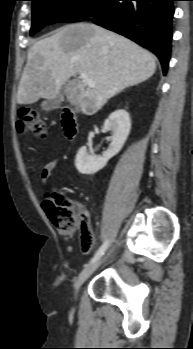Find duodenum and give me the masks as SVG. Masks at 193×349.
<instances>
[{"instance_id":"1","label":"duodenum","mask_w":193,"mask_h":349,"mask_svg":"<svg viewBox=\"0 0 193 349\" xmlns=\"http://www.w3.org/2000/svg\"><path fill=\"white\" fill-rule=\"evenodd\" d=\"M61 125L68 139H73L77 135L78 125L75 113L72 110L64 109Z\"/></svg>"}]
</instances>
